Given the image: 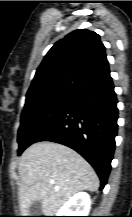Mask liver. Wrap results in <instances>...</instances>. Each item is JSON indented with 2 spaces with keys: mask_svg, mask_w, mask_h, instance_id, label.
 <instances>
[{
  "mask_svg": "<svg viewBox=\"0 0 132 217\" xmlns=\"http://www.w3.org/2000/svg\"><path fill=\"white\" fill-rule=\"evenodd\" d=\"M19 175L22 216L29 215L36 200L41 201L45 216H54L76 193L99 188V178L91 165L71 148L54 142L28 147L20 158Z\"/></svg>",
  "mask_w": 132,
  "mask_h": 217,
  "instance_id": "liver-1",
  "label": "liver"
}]
</instances>
